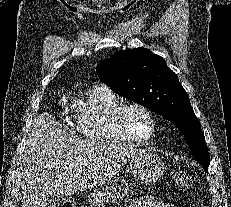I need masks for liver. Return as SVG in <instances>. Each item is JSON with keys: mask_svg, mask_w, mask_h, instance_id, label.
<instances>
[{"mask_svg": "<svg viewBox=\"0 0 231 207\" xmlns=\"http://www.w3.org/2000/svg\"><path fill=\"white\" fill-rule=\"evenodd\" d=\"M20 164L21 207H46L52 193L72 195L113 178L140 151L129 144L82 140L48 113L37 115Z\"/></svg>", "mask_w": 231, "mask_h": 207, "instance_id": "1", "label": "liver"}]
</instances>
